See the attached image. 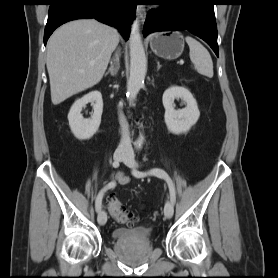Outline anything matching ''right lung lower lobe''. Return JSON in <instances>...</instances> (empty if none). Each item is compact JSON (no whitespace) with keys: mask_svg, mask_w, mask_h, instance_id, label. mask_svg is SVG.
I'll use <instances>...</instances> for the list:
<instances>
[{"mask_svg":"<svg viewBox=\"0 0 278 278\" xmlns=\"http://www.w3.org/2000/svg\"><path fill=\"white\" fill-rule=\"evenodd\" d=\"M135 10L134 0H51L44 44L60 25L83 18H95L116 27L127 40Z\"/></svg>","mask_w":278,"mask_h":278,"instance_id":"1","label":"right lung lower lobe"}]
</instances>
